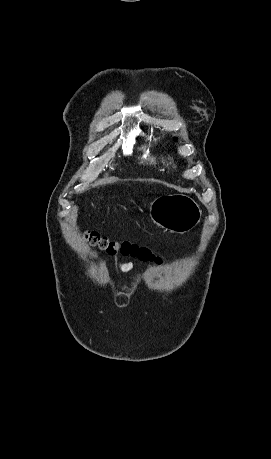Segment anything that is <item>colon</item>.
<instances>
[{
  "instance_id": "colon-1",
  "label": "colon",
  "mask_w": 271,
  "mask_h": 459,
  "mask_svg": "<svg viewBox=\"0 0 271 459\" xmlns=\"http://www.w3.org/2000/svg\"><path fill=\"white\" fill-rule=\"evenodd\" d=\"M85 238L89 243L107 251L110 254L120 253L123 256L136 257L142 261H160L159 258H155L147 247L140 246L130 241H110L95 231L86 232Z\"/></svg>"
}]
</instances>
